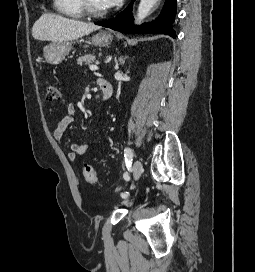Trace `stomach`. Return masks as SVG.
I'll return each mask as SVG.
<instances>
[{"label": "stomach", "instance_id": "0dacf381", "mask_svg": "<svg viewBox=\"0 0 255 272\" xmlns=\"http://www.w3.org/2000/svg\"><path fill=\"white\" fill-rule=\"evenodd\" d=\"M112 40L113 36L111 33L107 31H99L93 35L91 43L95 46L106 47L112 42ZM71 49V43L67 41L51 43L44 48L43 57L47 63L57 65L65 59Z\"/></svg>", "mask_w": 255, "mask_h": 272}]
</instances>
